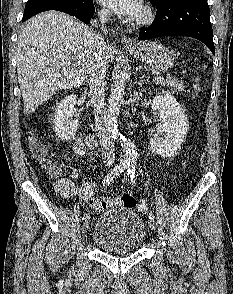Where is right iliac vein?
I'll return each mask as SVG.
<instances>
[{
  "label": "right iliac vein",
  "mask_w": 233,
  "mask_h": 294,
  "mask_svg": "<svg viewBox=\"0 0 233 294\" xmlns=\"http://www.w3.org/2000/svg\"><path fill=\"white\" fill-rule=\"evenodd\" d=\"M89 228V221L86 219L83 221V224H82V233H85Z\"/></svg>",
  "instance_id": "63e3f726"
}]
</instances>
